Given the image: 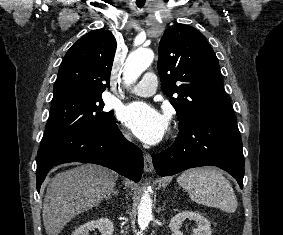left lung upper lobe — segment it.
<instances>
[{"instance_id": "5c2ea615", "label": "left lung upper lobe", "mask_w": 283, "mask_h": 235, "mask_svg": "<svg viewBox=\"0 0 283 235\" xmlns=\"http://www.w3.org/2000/svg\"><path fill=\"white\" fill-rule=\"evenodd\" d=\"M157 66L162 90L176 110L179 130L235 117L217 57L195 28L185 24L169 27L159 43Z\"/></svg>"}]
</instances>
